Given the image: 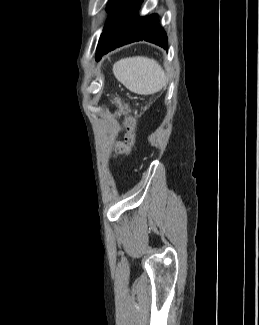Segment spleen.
<instances>
[{
    "mask_svg": "<svg viewBox=\"0 0 259 325\" xmlns=\"http://www.w3.org/2000/svg\"><path fill=\"white\" fill-rule=\"evenodd\" d=\"M113 74L128 90L139 95L156 93L166 85L161 65L148 57L121 59L113 65Z\"/></svg>",
    "mask_w": 259,
    "mask_h": 325,
    "instance_id": "spleen-1",
    "label": "spleen"
}]
</instances>
